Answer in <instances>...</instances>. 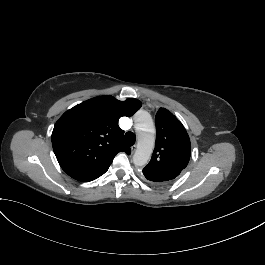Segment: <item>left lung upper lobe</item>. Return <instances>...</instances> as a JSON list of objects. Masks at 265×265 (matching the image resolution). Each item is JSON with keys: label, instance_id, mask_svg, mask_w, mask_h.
Segmentation results:
<instances>
[{"label": "left lung upper lobe", "instance_id": "5c2ea615", "mask_svg": "<svg viewBox=\"0 0 265 265\" xmlns=\"http://www.w3.org/2000/svg\"><path fill=\"white\" fill-rule=\"evenodd\" d=\"M157 138L152 158L142 170L144 177L157 185H165L186 168L191 144L182 123L167 109L155 116Z\"/></svg>", "mask_w": 265, "mask_h": 265}]
</instances>
